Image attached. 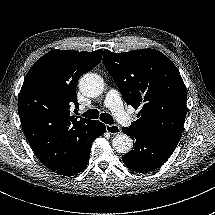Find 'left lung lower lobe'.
I'll list each match as a JSON object with an SVG mask.
<instances>
[{
	"label": "left lung lower lobe",
	"mask_w": 215,
	"mask_h": 215,
	"mask_svg": "<svg viewBox=\"0 0 215 215\" xmlns=\"http://www.w3.org/2000/svg\"><path fill=\"white\" fill-rule=\"evenodd\" d=\"M122 132L134 140L133 149L122 156L123 162L137 172H149L163 165L173 153L181 135L147 134L130 128Z\"/></svg>",
	"instance_id": "1"
}]
</instances>
